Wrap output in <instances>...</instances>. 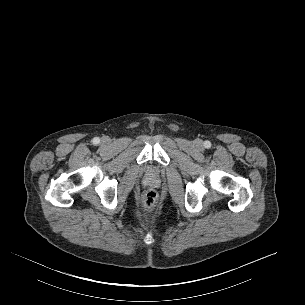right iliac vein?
<instances>
[{"label":"right iliac vein","instance_id":"1","mask_svg":"<svg viewBox=\"0 0 305 305\" xmlns=\"http://www.w3.org/2000/svg\"><path fill=\"white\" fill-rule=\"evenodd\" d=\"M103 142H105V143H106V142H107V139H104V140H103Z\"/></svg>","mask_w":305,"mask_h":305}]
</instances>
